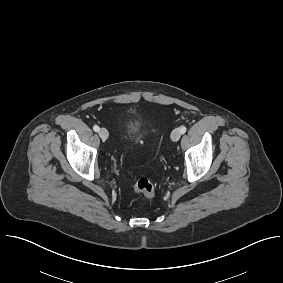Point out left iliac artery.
Instances as JSON below:
<instances>
[{"label":"left iliac artery","mask_w":283,"mask_h":283,"mask_svg":"<svg viewBox=\"0 0 283 283\" xmlns=\"http://www.w3.org/2000/svg\"><path fill=\"white\" fill-rule=\"evenodd\" d=\"M187 128L185 126L180 127L181 134H184L186 132Z\"/></svg>","instance_id":"left-iliac-artery-1"}]
</instances>
